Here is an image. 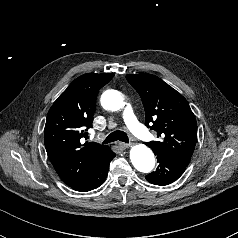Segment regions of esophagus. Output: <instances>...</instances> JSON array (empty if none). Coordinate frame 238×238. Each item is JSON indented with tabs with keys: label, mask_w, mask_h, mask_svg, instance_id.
Returning <instances> with one entry per match:
<instances>
[{
	"label": "esophagus",
	"mask_w": 238,
	"mask_h": 238,
	"mask_svg": "<svg viewBox=\"0 0 238 238\" xmlns=\"http://www.w3.org/2000/svg\"><path fill=\"white\" fill-rule=\"evenodd\" d=\"M119 145L122 147V148H129L131 146L130 143H124V142H119Z\"/></svg>",
	"instance_id": "1"
}]
</instances>
